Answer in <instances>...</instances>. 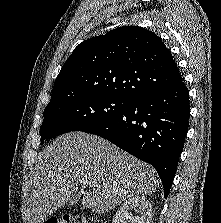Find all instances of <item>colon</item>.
I'll return each instance as SVG.
<instances>
[{
	"instance_id": "colon-1",
	"label": "colon",
	"mask_w": 221,
	"mask_h": 223,
	"mask_svg": "<svg viewBox=\"0 0 221 223\" xmlns=\"http://www.w3.org/2000/svg\"><path fill=\"white\" fill-rule=\"evenodd\" d=\"M44 223H100L98 219L88 218L84 216L68 217L64 216L61 218H48Z\"/></svg>"
}]
</instances>
